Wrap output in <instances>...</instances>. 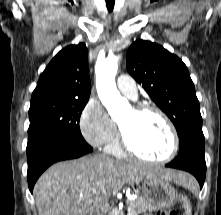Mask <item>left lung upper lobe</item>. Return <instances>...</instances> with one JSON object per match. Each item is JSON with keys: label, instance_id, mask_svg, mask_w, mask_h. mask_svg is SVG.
I'll return each instance as SVG.
<instances>
[{"label": "left lung upper lobe", "instance_id": "5c2ea615", "mask_svg": "<svg viewBox=\"0 0 221 215\" xmlns=\"http://www.w3.org/2000/svg\"><path fill=\"white\" fill-rule=\"evenodd\" d=\"M127 70L171 119L180 146L204 137L194 84L181 59L156 43L137 40L127 51Z\"/></svg>", "mask_w": 221, "mask_h": 215}]
</instances>
